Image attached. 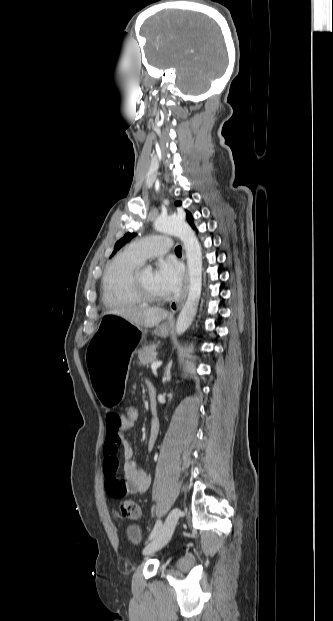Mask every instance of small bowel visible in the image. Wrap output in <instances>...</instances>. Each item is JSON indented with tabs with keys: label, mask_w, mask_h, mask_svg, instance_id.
I'll use <instances>...</instances> for the list:
<instances>
[{
	"label": "small bowel",
	"mask_w": 333,
	"mask_h": 621,
	"mask_svg": "<svg viewBox=\"0 0 333 621\" xmlns=\"http://www.w3.org/2000/svg\"><path fill=\"white\" fill-rule=\"evenodd\" d=\"M133 426L128 423L123 414L110 412L107 415V436L103 447V470L107 494L112 498H122L128 494L145 493L151 483L150 476L140 469L134 460L133 447L124 434ZM158 421H152L148 448L152 449L158 435ZM122 452L124 464L123 477L119 476L120 464L118 453Z\"/></svg>",
	"instance_id": "1"
}]
</instances>
